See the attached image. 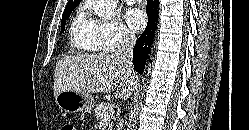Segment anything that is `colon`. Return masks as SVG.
<instances>
[{
    "label": "colon",
    "mask_w": 249,
    "mask_h": 130,
    "mask_svg": "<svg viewBox=\"0 0 249 130\" xmlns=\"http://www.w3.org/2000/svg\"><path fill=\"white\" fill-rule=\"evenodd\" d=\"M61 130H77L76 127L72 123H65Z\"/></svg>",
    "instance_id": "1"
}]
</instances>
